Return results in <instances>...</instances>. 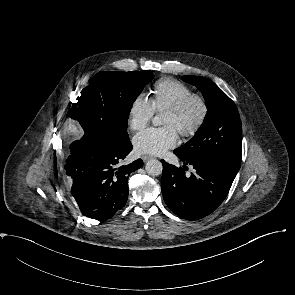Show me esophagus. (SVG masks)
<instances>
[{
  "instance_id": "1",
  "label": "esophagus",
  "mask_w": 295,
  "mask_h": 295,
  "mask_svg": "<svg viewBox=\"0 0 295 295\" xmlns=\"http://www.w3.org/2000/svg\"><path fill=\"white\" fill-rule=\"evenodd\" d=\"M150 159H152V156H148V155H144V156H142V160H143L144 162H147V161L150 160Z\"/></svg>"
}]
</instances>
